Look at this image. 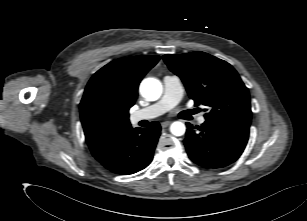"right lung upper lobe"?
I'll return each mask as SVG.
<instances>
[{"mask_svg": "<svg viewBox=\"0 0 307 221\" xmlns=\"http://www.w3.org/2000/svg\"><path fill=\"white\" fill-rule=\"evenodd\" d=\"M159 56H133L110 62L89 80L80 103L86 142L92 153L131 128L129 109L138 85Z\"/></svg>", "mask_w": 307, "mask_h": 221, "instance_id": "cb5924a9", "label": "right lung upper lobe"}]
</instances>
